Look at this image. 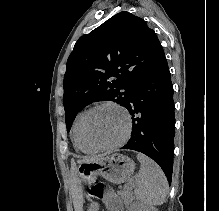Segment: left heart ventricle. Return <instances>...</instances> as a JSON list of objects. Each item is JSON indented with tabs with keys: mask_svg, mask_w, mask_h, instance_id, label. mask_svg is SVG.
<instances>
[{
	"mask_svg": "<svg viewBox=\"0 0 219 211\" xmlns=\"http://www.w3.org/2000/svg\"><path fill=\"white\" fill-rule=\"evenodd\" d=\"M125 128L124 115L111 106L93 110L86 122V134L89 140L98 145L117 142L123 136Z\"/></svg>",
	"mask_w": 219,
	"mask_h": 211,
	"instance_id": "b2bd125f",
	"label": "left heart ventricle"
}]
</instances>
